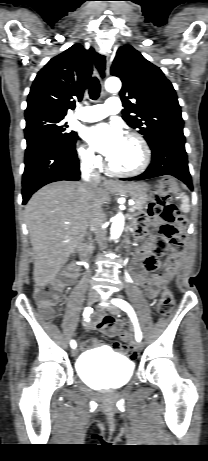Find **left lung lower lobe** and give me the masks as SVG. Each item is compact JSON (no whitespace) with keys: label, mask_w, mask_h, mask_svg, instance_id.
Returning a JSON list of instances; mask_svg holds the SVG:
<instances>
[{"label":"left lung lower lobe","mask_w":208,"mask_h":461,"mask_svg":"<svg viewBox=\"0 0 208 461\" xmlns=\"http://www.w3.org/2000/svg\"><path fill=\"white\" fill-rule=\"evenodd\" d=\"M184 145V136L170 135L159 139L151 147L152 161L147 170L141 175L122 178L121 180H145L162 175H172L183 181L192 190V180Z\"/></svg>","instance_id":"0a47b994"}]
</instances>
